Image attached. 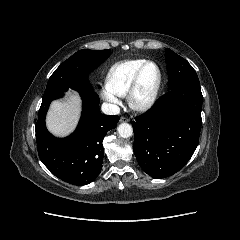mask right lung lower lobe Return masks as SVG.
I'll list each match as a JSON object with an SVG mask.
<instances>
[{"label":"right lung lower lobe","instance_id":"obj_1","mask_svg":"<svg viewBox=\"0 0 240 240\" xmlns=\"http://www.w3.org/2000/svg\"><path fill=\"white\" fill-rule=\"evenodd\" d=\"M80 95L83 112L72 135L56 138L45 125L50 102L62 97L63 93L42 100L35 126L41 161L55 176L73 185L89 184L100 174L104 156L102 141L119 121V116H106L99 111V97L95 92H82Z\"/></svg>","mask_w":240,"mask_h":240}]
</instances>
